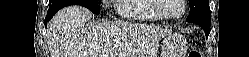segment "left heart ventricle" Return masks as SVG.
Here are the masks:
<instances>
[{
	"label": "left heart ventricle",
	"mask_w": 249,
	"mask_h": 57,
	"mask_svg": "<svg viewBox=\"0 0 249 57\" xmlns=\"http://www.w3.org/2000/svg\"><path fill=\"white\" fill-rule=\"evenodd\" d=\"M164 1H165V7L163 11L167 15H176L180 13L182 9L180 0H164Z\"/></svg>",
	"instance_id": "obj_1"
}]
</instances>
